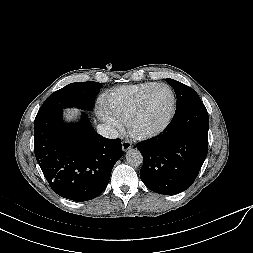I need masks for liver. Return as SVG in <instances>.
Segmentation results:
<instances>
[{
    "mask_svg": "<svg viewBox=\"0 0 253 253\" xmlns=\"http://www.w3.org/2000/svg\"><path fill=\"white\" fill-rule=\"evenodd\" d=\"M78 113V110L77 109H71V110H68V114L66 115V118L68 120L72 119L74 117V115H76Z\"/></svg>",
    "mask_w": 253,
    "mask_h": 253,
    "instance_id": "obj_1",
    "label": "liver"
}]
</instances>
